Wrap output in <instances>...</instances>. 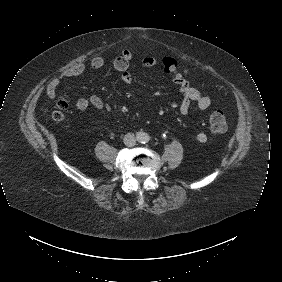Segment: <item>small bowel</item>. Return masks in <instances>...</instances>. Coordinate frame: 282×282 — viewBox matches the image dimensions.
Wrapping results in <instances>:
<instances>
[{
    "mask_svg": "<svg viewBox=\"0 0 282 282\" xmlns=\"http://www.w3.org/2000/svg\"><path fill=\"white\" fill-rule=\"evenodd\" d=\"M132 58V53L128 50H124L113 62L114 68L121 72L120 79L124 84H130L133 81V76L128 71ZM104 64V59L100 56H97L91 60L90 67L94 70H98L101 69ZM142 65L146 68H157L158 61L152 56H147L142 60ZM85 70L86 65L84 63H78L61 71L48 82L46 87L47 96L51 99L55 98L57 89L64 80L80 76L85 72ZM173 82L178 86L179 91L182 94V100L179 104V112L181 114H187L190 111L193 103H195L200 110H206L210 107V97L202 94L199 90L193 87L187 81V79L184 81H176L173 79ZM75 107L81 111L89 107H93L99 112H103L106 108V105L101 97L92 95L86 98L78 99L75 102ZM194 139L199 143H206L208 136L204 132H197L194 135Z\"/></svg>",
    "mask_w": 282,
    "mask_h": 282,
    "instance_id": "small-bowel-1",
    "label": "small bowel"
}]
</instances>
